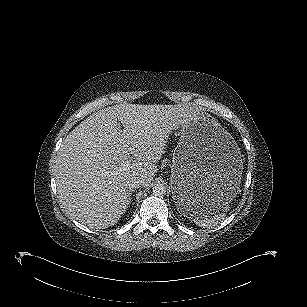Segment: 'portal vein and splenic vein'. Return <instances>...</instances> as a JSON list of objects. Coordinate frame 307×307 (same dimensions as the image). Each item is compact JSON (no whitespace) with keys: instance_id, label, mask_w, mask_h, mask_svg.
<instances>
[{"instance_id":"portal-vein-and-splenic-vein-1","label":"portal vein and splenic vein","mask_w":307,"mask_h":307,"mask_svg":"<svg viewBox=\"0 0 307 307\" xmlns=\"http://www.w3.org/2000/svg\"><path fill=\"white\" fill-rule=\"evenodd\" d=\"M131 161L130 160H127L124 162V165H128Z\"/></svg>"}]
</instances>
